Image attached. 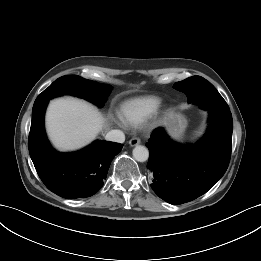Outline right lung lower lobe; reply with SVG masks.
I'll use <instances>...</instances> for the list:
<instances>
[{"mask_svg": "<svg viewBox=\"0 0 261 261\" xmlns=\"http://www.w3.org/2000/svg\"><path fill=\"white\" fill-rule=\"evenodd\" d=\"M48 101L32 110L28 147L35 169L46 187L58 196L66 199L92 196L103 186L111 161L123 145L96 141L77 152H56L44 129Z\"/></svg>", "mask_w": 261, "mask_h": 261, "instance_id": "98d812e1", "label": "right lung lower lobe"}]
</instances>
